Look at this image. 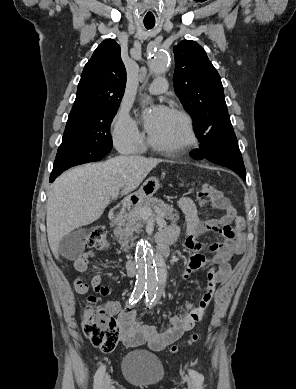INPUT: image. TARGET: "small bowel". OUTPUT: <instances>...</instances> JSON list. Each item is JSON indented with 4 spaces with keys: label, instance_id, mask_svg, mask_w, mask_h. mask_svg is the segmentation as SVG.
<instances>
[{
    "label": "small bowel",
    "instance_id": "c3829d8e",
    "mask_svg": "<svg viewBox=\"0 0 296 389\" xmlns=\"http://www.w3.org/2000/svg\"><path fill=\"white\" fill-rule=\"evenodd\" d=\"M214 206L222 211L221 217L201 220L191 199L181 197L177 201V207L187 221L186 247L191 251H206L211 254L207 256L194 253L187 260L185 272L187 277L199 268H209L206 289L198 304L187 306L184 311L176 313L162 331L152 325L139 324L136 321L134 310L123 311L119 318L120 339L126 346L136 347L147 344L153 351L164 350L194 327L197 321L194 320L193 315L205 313L214 296L217 284L226 280L230 275L231 266L228 262L230 256L233 253H241L245 247L241 232L243 221L237 216L235 209L227 199L215 201ZM205 233H213L218 240L210 243L200 241L199 237ZM161 236L170 238L174 242L179 236L178 226L175 223L170 224L157 235V237ZM92 256V251L80 253L75 259V268L78 271L86 270ZM89 288L101 296H108L112 292L111 287L102 283V277L99 274L94 275L90 283L80 278L74 280V289L77 293L84 294ZM105 308L111 315H116L121 311V304L117 299H111L106 302Z\"/></svg>",
    "mask_w": 296,
    "mask_h": 389
}]
</instances>
